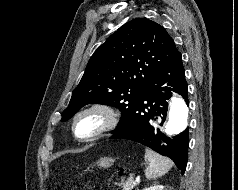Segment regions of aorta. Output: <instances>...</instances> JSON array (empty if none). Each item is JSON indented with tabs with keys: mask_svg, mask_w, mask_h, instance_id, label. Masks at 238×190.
<instances>
[{
	"mask_svg": "<svg viewBox=\"0 0 238 190\" xmlns=\"http://www.w3.org/2000/svg\"><path fill=\"white\" fill-rule=\"evenodd\" d=\"M189 107L185 100L178 96H173L170 102L169 119L165 131L170 134H178L188 125Z\"/></svg>",
	"mask_w": 238,
	"mask_h": 190,
	"instance_id": "aorta-1",
	"label": "aorta"
}]
</instances>
